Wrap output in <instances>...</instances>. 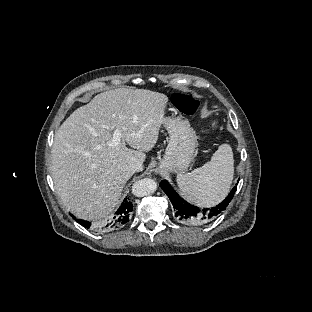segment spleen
I'll return each instance as SVG.
<instances>
[{
  "mask_svg": "<svg viewBox=\"0 0 312 312\" xmlns=\"http://www.w3.org/2000/svg\"><path fill=\"white\" fill-rule=\"evenodd\" d=\"M234 175V158L229 144H222L211 161L190 173L177 175L181 195L199 207L222 202L229 193Z\"/></svg>",
  "mask_w": 312,
  "mask_h": 312,
  "instance_id": "3e777b00",
  "label": "spleen"
}]
</instances>
